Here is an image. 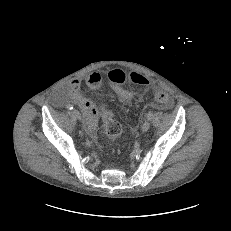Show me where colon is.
Instances as JSON below:
<instances>
[{
    "label": "colon",
    "instance_id": "1",
    "mask_svg": "<svg viewBox=\"0 0 231 231\" xmlns=\"http://www.w3.org/2000/svg\"><path fill=\"white\" fill-rule=\"evenodd\" d=\"M108 79L111 84L120 86L127 79L136 84H146V79L144 76L137 72L126 73L124 70L116 68L111 70L108 73ZM155 99L159 103H167L169 98L164 92H157L155 94ZM102 119H103V128L105 134L115 143L119 142V137L122 132V128L120 123L115 119L111 110H109L106 106L103 107L102 111Z\"/></svg>",
    "mask_w": 231,
    "mask_h": 231
}]
</instances>
